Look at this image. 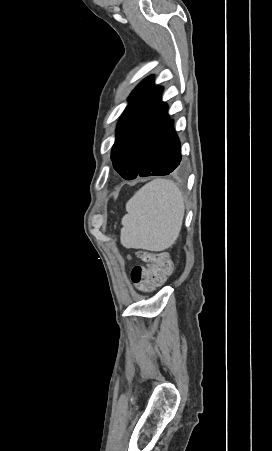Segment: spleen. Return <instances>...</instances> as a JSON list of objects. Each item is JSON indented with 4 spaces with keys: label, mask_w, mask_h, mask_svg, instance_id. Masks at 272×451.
<instances>
[{
    "label": "spleen",
    "mask_w": 272,
    "mask_h": 451,
    "mask_svg": "<svg viewBox=\"0 0 272 451\" xmlns=\"http://www.w3.org/2000/svg\"><path fill=\"white\" fill-rule=\"evenodd\" d=\"M120 241L124 247L163 251L176 241L185 212L183 196L172 180L145 184L126 204Z\"/></svg>",
    "instance_id": "3e777b00"
}]
</instances>
